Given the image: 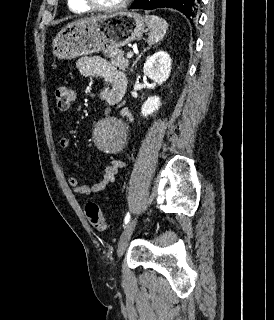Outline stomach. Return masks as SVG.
<instances>
[{"mask_svg":"<svg viewBox=\"0 0 274 320\" xmlns=\"http://www.w3.org/2000/svg\"><path fill=\"white\" fill-rule=\"evenodd\" d=\"M146 24L136 12H116L99 18L81 20L63 28L53 42V54L60 60L99 54L108 48H122L140 40Z\"/></svg>","mask_w":274,"mask_h":320,"instance_id":"obj_1","label":"stomach"}]
</instances>
